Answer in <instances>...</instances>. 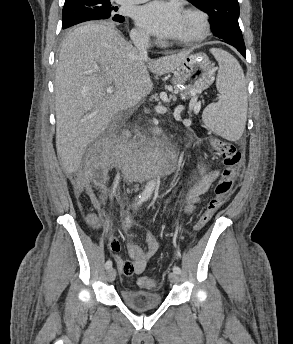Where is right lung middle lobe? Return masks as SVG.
<instances>
[{
    "instance_id": "obj_1",
    "label": "right lung middle lobe",
    "mask_w": 293,
    "mask_h": 344,
    "mask_svg": "<svg viewBox=\"0 0 293 344\" xmlns=\"http://www.w3.org/2000/svg\"><path fill=\"white\" fill-rule=\"evenodd\" d=\"M110 0H78L65 3L62 12V28L66 29L81 22L100 19H119L114 15Z\"/></svg>"
}]
</instances>
